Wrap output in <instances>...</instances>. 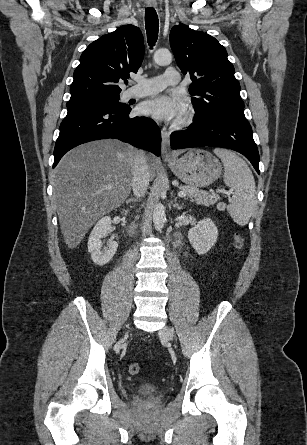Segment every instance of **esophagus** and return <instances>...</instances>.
<instances>
[{
    "label": "esophagus",
    "mask_w": 307,
    "mask_h": 445,
    "mask_svg": "<svg viewBox=\"0 0 307 445\" xmlns=\"http://www.w3.org/2000/svg\"><path fill=\"white\" fill-rule=\"evenodd\" d=\"M146 6L154 9L158 8L157 3H148ZM161 153L163 158H172L170 148V134L165 127L161 128Z\"/></svg>",
    "instance_id": "1"
}]
</instances>
